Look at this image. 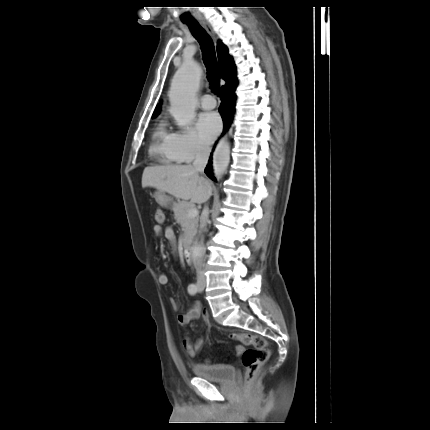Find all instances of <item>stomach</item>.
<instances>
[{
	"instance_id": "0dacf381",
	"label": "stomach",
	"mask_w": 430,
	"mask_h": 430,
	"mask_svg": "<svg viewBox=\"0 0 430 430\" xmlns=\"http://www.w3.org/2000/svg\"><path fill=\"white\" fill-rule=\"evenodd\" d=\"M155 200L160 204L162 207L168 208L171 202L170 197H168L165 192L163 191H157L154 194Z\"/></svg>"
}]
</instances>
